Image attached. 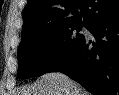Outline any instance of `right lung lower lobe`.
Wrapping results in <instances>:
<instances>
[{"label":"right lung lower lobe","instance_id":"1","mask_svg":"<svg viewBox=\"0 0 119 95\" xmlns=\"http://www.w3.org/2000/svg\"><path fill=\"white\" fill-rule=\"evenodd\" d=\"M84 37L49 72H61L94 95H119V14L87 28Z\"/></svg>","mask_w":119,"mask_h":95}]
</instances>
